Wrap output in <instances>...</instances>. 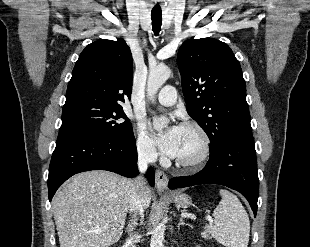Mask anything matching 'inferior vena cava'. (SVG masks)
<instances>
[{
  "mask_svg": "<svg viewBox=\"0 0 310 247\" xmlns=\"http://www.w3.org/2000/svg\"><path fill=\"white\" fill-rule=\"evenodd\" d=\"M138 151V169L141 173H144L148 165L155 162L157 159V152L150 144L140 145L137 148ZM130 195L128 209L134 214L139 213L141 219L143 218V205L140 198V189L145 186V180L142 177H138L135 180H130ZM138 234H131L127 242L131 247H136L138 241Z\"/></svg>",
  "mask_w": 310,
  "mask_h": 247,
  "instance_id": "obj_1",
  "label": "inferior vena cava"
}]
</instances>
